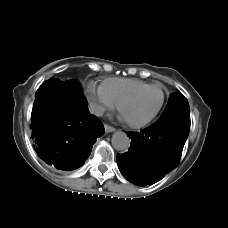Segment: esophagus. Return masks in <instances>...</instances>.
Instances as JSON below:
<instances>
[{
  "label": "esophagus",
  "instance_id": "1",
  "mask_svg": "<svg viewBox=\"0 0 228 228\" xmlns=\"http://www.w3.org/2000/svg\"><path fill=\"white\" fill-rule=\"evenodd\" d=\"M104 128H105L106 133H110V132L115 131V128L113 126L108 125V124H105Z\"/></svg>",
  "mask_w": 228,
  "mask_h": 228
}]
</instances>
